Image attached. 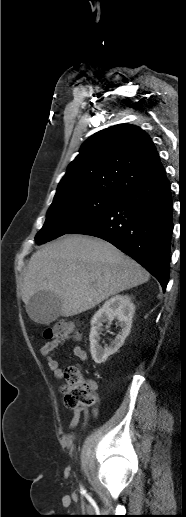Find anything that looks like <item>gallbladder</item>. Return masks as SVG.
I'll return each instance as SVG.
<instances>
[{
    "mask_svg": "<svg viewBox=\"0 0 186 517\" xmlns=\"http://www.w3.org/2000/svg\"><path fill=\"white\" fill-rule=\"evenodd\" d=\"M61 301L51 292L40 291L34 294L26 305L30 318L41 324H49L60 316Z\"/></svg>",
    "mask_w": 186,
    "mask_h": 517,
    "instance_id": "bac80fb5",
    "label": "gallbladder"
}]
</instances>
